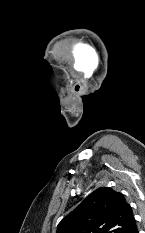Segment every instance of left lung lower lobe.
I'll return each mask as SVG.
<instances>
[{
  "label": "left lung lower lobe",
  "instance_id": "0a47b994",
  "mask_svg": "<svg viewBox=\"0 0 145 233\" xmlns=\"http://www.w3.org/2000/svg\"><path fill=\"white\" fill-rule=\"evenodd\" d=\"M131 233H138L137 226H135V227L133 228V230L131 231Z\"/></svg>",
  "mask_w": 145,
  "mask_h": 233
}]
</instances>
